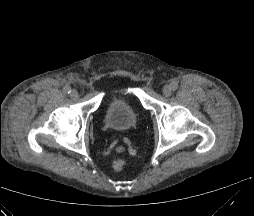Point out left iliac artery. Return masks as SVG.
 <instances>
[{"label":"left iliac artery","mask_w":254,"mask_h":216,"mask_svg":"<svg viewBox=\"0 0 254 216\" xmlns=\"http://www.w3.org/2000/svg\"><path fill=\"white\" fill-rule=\"evenodd\" d=\"M170 88H171V90H173V91L177 90V88H178V83H177V82H172V83L170 84Z\"/></svg>","instance_id":"left-iliac-artery-1"}]
</instances>
